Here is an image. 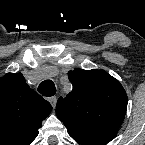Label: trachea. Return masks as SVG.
I'll use <instances>...</instances> for the list:
<instances>
[{
	"label": "trachea",
	"instance_id": "obj_1",
	"mask_svg": "<svg viewBox=\"0 0 145 145\" xmlns=\"http://www.w3.org/2000/svg\"><path fill=\"white\" fill-rule=\"evenodd\" d=\"M38 92L43 96L51 97L56 93L55 84L52 80H45L38 86Z\"/></svg>",
	"mask_w": 145,
	"mask_h": 145
}]
</instances>
